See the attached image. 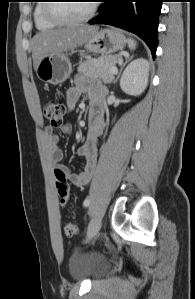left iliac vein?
<instances>
[{
  "label": "left iliac vein",
  "mask_w": 195,
  "mask_h": 299,
  "mask_svg": "<svg viewBox=\"0 0 195 299\" xmlns=\"http://www.w3.org/2000/svg\"><path fill=\"white\" fill-rule=\"evenodd\" d=\"M100 227H101V218L100 216H95L89 224L87 240H91L92 238H94L98 234Z\"/></svg>",
  "instance_id": "left-iliac-vein-1"
}]
</instances>
